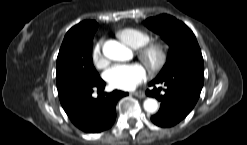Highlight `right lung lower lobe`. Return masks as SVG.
Instances as JSON below:
<instances>
[{
  "label": "right lung lower lobe",
  "mask_w": 247,
  "mask_h": 145,
  "mask_svg": "<svg viewBox=\"0 0 247 145\" xmlns=\"http://www.w3.org/2000/svg\"><path fill=\"white\" fill-rule=\"evenodd\" d=\"M105 82L80 83L59 92L61 105L72 123L86 133H97L110 128L116 118L117 101L128 93L115 90L103 93ZM94 89L98 97L93 98Z\"/></svg>",
  "instance_id": "1"
}]
</instances>
